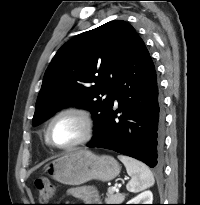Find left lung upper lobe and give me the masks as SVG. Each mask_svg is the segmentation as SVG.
Listing matches in <instances>:
<instances>
[{"label":"left lung upper lobe","instance_id":"5c2ea615","mask_svg":"<svg viewBox=\"0 0 200 205\" xmlns=\"http://www.w3.org/2000/svg\"><path fill=\"white\" fill-rule=\"evenodd\" d=\"M137 36L130 24L115 20L66 42L45 72L32 124L75 105L92 113L95 138L111 110L113 84Z\"/></svg>","mask_w":200,"mask_h":205}]
</instances>
